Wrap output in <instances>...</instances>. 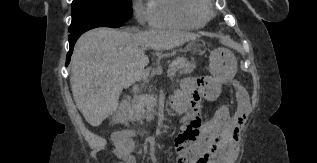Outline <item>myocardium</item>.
<instances>
[{
    "instance_id": "1",
    "label": "myocardium",
    "mask_w": 317,
    "mask_h": 163,
    "mask_svg": "<svg viewBox=\"0 0 317 163\" xmlns=\"http://www.w3.org/2000/svg\"><path fill=\"white\" fill-rule=\"evenodd\" d=\"M200 3L197 6L207 17L212 15V8L210 0H199Z\"/></svg>"
}]
</instances>
